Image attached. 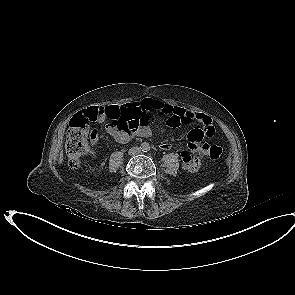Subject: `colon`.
<instances>
[{
  "label": "colon",
  "mask_w": 295,
  "mask_h": 295,
  "mask_svg": "<svg viewBox=\"0 0 295 295\" xmlns=\"http://www.w3.org/2000/svg\"><path fill=\"white\" fill-rule=\"evenodd\" d=\"M106 117L114 120L116 126L120 129H135L139 125L138 121L130 120L121 111L107 112ZM90 122L85 116L78 115L71 121L67 130L65 151L71 168H78L80 166L81 158L87 148L88 139L94 132ZM221 155V147L215 144L209 147V157L212 160L220 159Z\"/></svg>",
  "instance_id": "colon-1"
}]
</instances>
